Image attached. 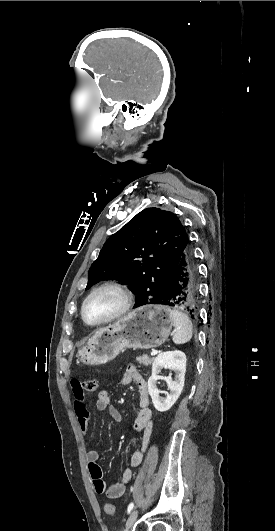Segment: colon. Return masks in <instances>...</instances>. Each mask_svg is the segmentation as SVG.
<instances>
[{
    "mask_svg": "<svg viewBox=\"0 0 275 531\" xmlns=\"http://www.w3.org/2000/svg\"><path fill=\"white\" fill-rule=\"evenodd\" d=\"M98 379L97 378H91L85 380L83 384V389L85 392L89 393H95L98 390ZM114 505L111 503L106 504V510L108 513L112 514L114 512Z\"/></svg>",
    "mask_w": 275,
    "mask_h": 531,
    "instance_id": "obj_1",
    "label": "colon"
}]
</instances>
